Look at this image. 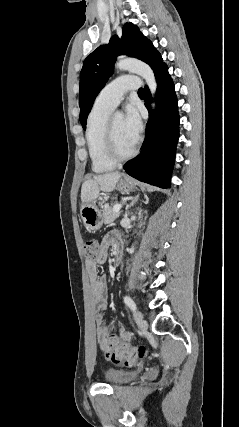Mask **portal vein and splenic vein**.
Masks as SVG:
<instances>
[{
	"instance_id": "18ae733b",
	"label": "portal vein and splenic vein",
	"mask_w": 239,
	"mask_h": 427,
	"mask_svg": "<svg viewBox=\"0 0 239 427\" xmlns=\"http://www.w3.org/2000/svg\"><path fill=\"white\" fill-rule=\"evenodd\" d=\"M122 208V204H116V205H114V207H113V211L115 212V213H118L119 211H120V209Z\"/></svg>"
}]
</instances>
